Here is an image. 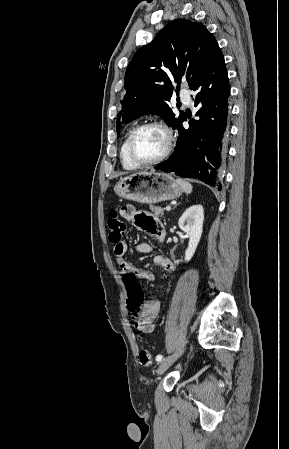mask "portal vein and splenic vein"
<instances>
[{"label": "portal vein and splenic vein", "mask_w": 289, "mask_h": 449, "mask_svg": "<svg viewBox=\"0 0 289 449\" xmlns=\"http://www.w3.org/2000/svg\"><path fill=\"white\" fill-rule=\"evenodd\" d=\"M167 211H170L171 210V207L170 206H166V208H165Z\"/></svg>", "instance_id": "portal-vein-and-splenic-vein-1"}]
</instances>
